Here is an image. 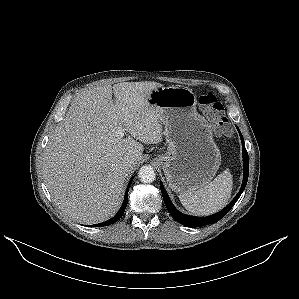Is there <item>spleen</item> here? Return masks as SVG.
Listing matches in <instances>:
<instances>
[{
	"label": "spleen",
	"mask_w": 299,
	"mask_h": 299,
	"mask_svg": "<svg viewBox=\"0 0 299 299\" xmlns=\"http://www.w3.org/2000/svg\"><path fill=\"white\" fill-rule=\"evenodd\" d=\"M232 188V175L229 169H226L212 182L197 191L180 194L179 199L182 205L192 214L209 216L227 205Z\"/></svg>",
	"instance_id": "obj_1"
}]
</instances>
